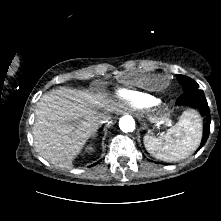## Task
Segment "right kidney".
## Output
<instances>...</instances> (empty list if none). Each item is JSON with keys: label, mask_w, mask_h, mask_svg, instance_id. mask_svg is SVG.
<instances>
[{"label": "right kidney", "mask_w": 221, "mask_h": 221, "mask_svg": "<svg viewBox=\"0 0 221 221\" xmlns=\"http://www.w3.org/2000/svg\"><path fill=\"white\" fill-rule=\"evenodd\" d=\"M88 149L90 150V149H92V147H89Z\"/></svg>", "instance_id": "ca27d5eb"}]
</instances>
